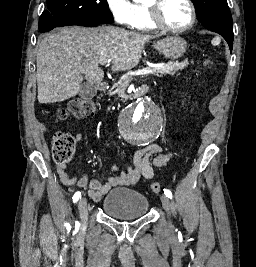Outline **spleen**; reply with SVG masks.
Masks as SVG:
<instances>
[{"label":"spleen","mask_w":256,"mask_h":267,"mask_svg":"<svg viewBox=\"0 0 256 267\" xmlns=\"http://www.w3.org/2000/svg\"><path fill=\"white\" fill-rule=\"evenodd\" d=\"M220 42H221V40L217 36V38H213L211 44H213V46H218V44H220Z\"/></svg>","instance_id":"3e777b00"}]
</instances>
